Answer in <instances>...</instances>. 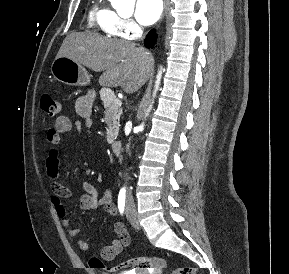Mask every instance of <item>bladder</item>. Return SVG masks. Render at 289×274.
I'll return each mask as SVG.
<instances>
[{
    "instance_id": "bladder-1",
    "label": "bladder",
    "mask_w": 289,
    "mask_h": 274,
    "mask_svg": "<svg viewBox=\"0 0 289 274\" xmlns=\"http://www.w3.org/2000/svg\"><path fill=\"white\" fill-rule=\"evenodd\" d=\"M118 274H148L146 271H127V272H120Z\"/></svg>"
}]
</instances>
